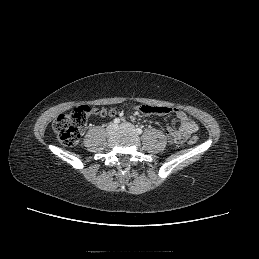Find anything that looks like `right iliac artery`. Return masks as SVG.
Masks as SVG:
<instances>
[{
	"label": "right iliac artery",
	"mask_w": 259,
	"mask_h": 259,
	"mask_svg": "<svg viewBox=\"0 0 259 259\" xmlns=\"http://www.w3.org/2000/svg\"><path fill=\"white\" fill-rule=\"evenodd\" d=\"M113 122H114V124H119V123H120V119H119V118H115V119L113 120Z\"/></svg>",
	"instance_id": "right-iliac-artery-1"
}]
</instances>
